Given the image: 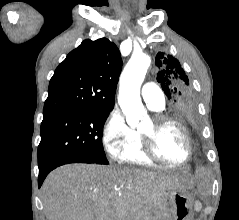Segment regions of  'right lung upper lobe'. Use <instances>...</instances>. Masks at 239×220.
<instances>
[{
	"instance_id": "cb5924a9",
	"label": "right lung upper lobe",
	"mask_w": 239,
	"mask_h": 220,
	"mask_svg": "<svg viewBox=\"0 0 239 220\" xmlns=\"http://www.w3.org/2000/svg\"><path fill=\"white\" fill-rule=\"evenodd\" d=\"M121 67L120 52L114 43L106 38L84 40L56 68L43 114L112 110Z\"/></svg>"
}]
</instances>
